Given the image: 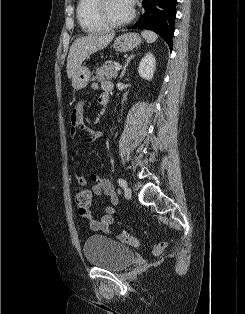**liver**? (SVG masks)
Masks as SVG:
<instances>
[{
	"label": "liver",
	"instance_id": "obj_1",
	"mask_svg": "<svg viewBox=\"0 0 245 314\" xmlns=\"http://www.w3.org/2000/svg\"><path fill=\"white\" fill-rule=\"evenodd\" d=\"M113 38L114 33L106 35L88 34L76 39L70 47L67 58L66 71L68 78H73L83 61L91 54L107 47Z\"/></svg>",
	"mask_w": 245,
	"mask_h": 314
}]
</instances>
